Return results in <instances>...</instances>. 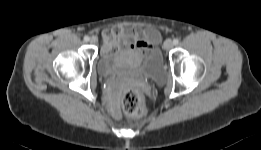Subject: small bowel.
I'll use <instances>...</instances> for the list:
<instances>
[{"label": "small bowel", "instance_id": "1", "mask_svg": "<svg viewBox=\"0 0 261 150\" xmlns=\"http://www.w3.org/2000/svg\"><path fill=\"white\" fill-rule=\"evenodd\" d=\"M105 48L115 47L121 40L123 43L133 41V47L139 51H148L157 42L160 35L157 30L147 28L140 32L136 29L113 28L103 32Z\"/></svg>", "mask_w": 261, "mask_h": 150}]
</instances>
